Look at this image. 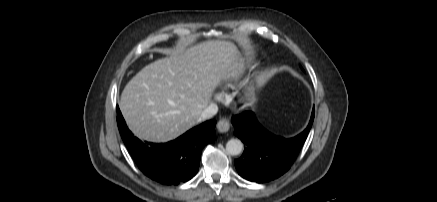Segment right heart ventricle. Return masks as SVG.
<instances>
[{"label":"right heart ventricle","mask_w":437,"mask_h":202,"mask_svg":"<svg viewBox=\"0 0 437 202\" xmlns=\"http://www.w3.org/2000/svg\"><path fill=\"white\" fill-rule=\"evenodd\" d=\"M249 63H250V58L246 57V64H249Z\"/></svg>","instance_id":"1"}]
</instances>
